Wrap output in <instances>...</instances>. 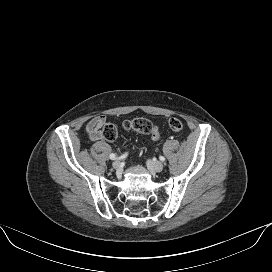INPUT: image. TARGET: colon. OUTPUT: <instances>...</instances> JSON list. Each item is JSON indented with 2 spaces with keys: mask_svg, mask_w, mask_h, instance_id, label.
Instances as JSON below:
<instances>
[{
  "mask_svg": "<svg viewBox=\"0 0 272 272\" xmlns=\"http://www.w3.org/2000/svg\"><path fill=\"white\" fill-rule=\"evenodd\" d=\"M168 125L173 131H180L183 129V123L180 119L172 117L168 121ZM125 130H132L144 135L151 136L154 140H159L161 135L158 127L146 118H134L123 123ZM103 137L107 141H114L118 137V128L108 123L103 128Z\"/></svg>",
  "mask_w": 272,
  "mask_h": 272,
  "instance_id": "5ec220e1",
  "label": "colon"
}]
</instances>
